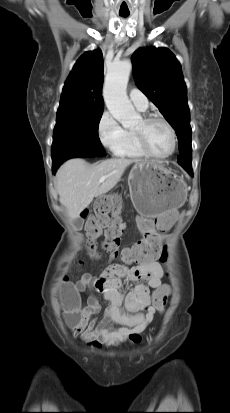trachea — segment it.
<instances>
[{"mask_svg": "<svg viewBox=\"0 0 230 413\" xmlns=\"http://www.w3.org/2000/svg\"><path fill=\"white\" fill-rule=\"evenodd\" d=\"M119 15H120L121 17L126 18V17H128V16H129V13H120Z\"/></svg>", "mask_w": 230, "mask_h": 413, "instance_id": "trachea-1", "label": "trachea"}]
</instances>
